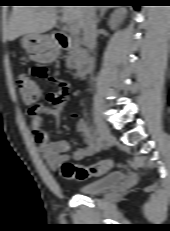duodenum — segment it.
I'll list each match as a JSON object with an SVG mask.
<instances>
[{
    "label": "duodenum",
    "instance_id": "410a0bca",
    "mask_svg": "<svg viewBox=\"0 0 170 231\" xmlns=\"http://www.w3.org/2000/svg\"><path fill=\"white\" fill-rule=\"evenodd\" d=\"M55 38L58 42V45L62 49H67L72 45V41L70 40L69 36L62 31L56 33ZM92 67V57L87 52H82L78 54L75 62H74V69L76 70L77 74L80 76H85L90 73Z\"/></svg>",
    "mask_w": 170,
    "mask_h": 231
}]
</instances>
